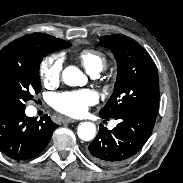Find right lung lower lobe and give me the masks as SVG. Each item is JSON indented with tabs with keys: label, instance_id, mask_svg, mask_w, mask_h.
<instances>
[{
	"label": "right lung lower lobe",
	"instance_id": "1",
	"mask_svg": "<svg viewBox=\"0 0 183 183\" xmlns=\"http://www.w3.org/2000/svg\"><path fill=\"white\" fill-rule=\"evenodd\" d=\"M58 127L44 115L39 121L25 115V107L0 109V151L11 159L26 160L40 154Z\"/></svg>",
	"mask_w": 183,
	"mask_h": 183
}]
</instances>
